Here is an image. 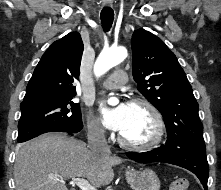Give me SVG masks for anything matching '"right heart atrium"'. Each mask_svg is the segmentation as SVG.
Instances as JSON below:
<instances>
[{
  "mask_svg": "<svg viewBox=\"0 0 221 190\" xmlns=\"http://www.w3.org/2000/svg\"><path fill=\"white\" fill-rule=\"evenodd\" d=\"M87 133L91 140L97 142H103L106 137L102 124L92 114L87 117Z\"/></svg>",
  "mask_w": 221,
  "mask_h": 190,
  "instance_id": "right-heart-atrium-1",
  "label": "right heart atrium"
}]
</instances>
